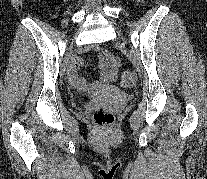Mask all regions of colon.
Returning <instances> with one entry per match:
<instances>
[{"label":"colon","mask_w":207,"mask_h":179,"mask_svg":"<svg viewBox=\"0 0 207 179\" xmlns=\"http://www.w3.org/2000/svg\"><path fill=\"white\" fill-rule=\"evenodd\" d=\"M132 83H133V73L130 71L124 72L121 78V86L124 89H128L132 86ZM83 101L85 103L88 102V97L86 95L83 96ZM92 118L94 122L100 126L111 125L114 122L113 113L102 108L95 110L92 114Z\"/></svg>","instance_id":"obj_1"}]
</instances>
